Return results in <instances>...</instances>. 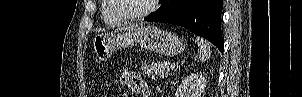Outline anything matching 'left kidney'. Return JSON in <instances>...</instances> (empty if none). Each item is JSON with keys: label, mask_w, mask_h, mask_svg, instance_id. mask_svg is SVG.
Instances as JSON below:
<instances>
[{"label": "left kidney", "mask_w": 302, "mask_h": 97, "mask_svg": "<svg viewBox=\"0 0 302 97\" xmlns=\"http://www.w3.org/2000/svg\"><path fill=\"white\" fill-rule=\"evenodd\" d=\"M206 83L202 74L192 73L185 77L178 86L175 97H202Z\"/></svg>", "instance_id": "obj_1"}]
</instances>
